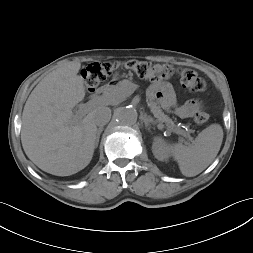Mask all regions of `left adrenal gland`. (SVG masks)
<instances>
[{"label": "left adrenal gland", "instance_id": "a2214340", "mask_svg": "<svg viewBox=\"0 0 253 253\" xmlns=\"http://www.w3.org/2000/svg\"><path fill=\"white\" fill-rule=\"evenodd\" d=\"M142 119H143V122H144V124H145V127H146V129H147L148 131H150L151 124H152V125H155V124H156V122H155V121L153 120V118H151L150 116L144 115V116L142 117Z\"/></svg>", "mask_w": 253, "mask_h": 253}]
</instances>
